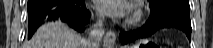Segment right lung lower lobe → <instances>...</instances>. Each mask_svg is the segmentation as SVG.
<instances>
[{"instance_id":"98d812e1","label":"right lung lower lobe","mask_w":213,"mask_h":48,"mask_svg":"<svg viewBox=\"0 0 213 48\" xmlns=\"http://www.w3.org/2000/svg\"><path fill=\"white\" fill-rule=\"evenodd\" d=\"M27 9L30 30L28 38L32 37L41 24L57 19L82 32L90 18L84 0H28Z\"/></svg>"}]
</instances>
